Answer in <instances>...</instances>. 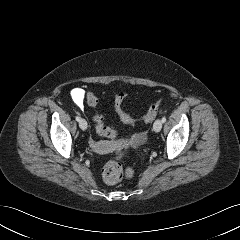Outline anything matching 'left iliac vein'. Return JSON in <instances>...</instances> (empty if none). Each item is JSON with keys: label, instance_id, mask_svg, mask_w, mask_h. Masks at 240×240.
Wrapping results in <instances>:
<instances>
[{"label": "left iliac vein", "instance_id": "left-iliac-vein-1", "mask_svg": "<svg viewBox=\"0 0 240 240\" xmlns=\"http://www.w3.org/2000/svg\"><path fill=\"white\" fill-rule=\"evenodd\" d=\"M162 128V121L160 119H157L155 122H154V125H153V129L155 132H159Z\"/></svg>", "mask_w": 240, "mask_h": 240}]
</instances>
